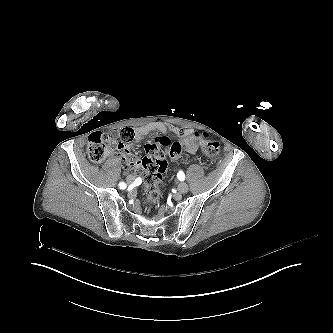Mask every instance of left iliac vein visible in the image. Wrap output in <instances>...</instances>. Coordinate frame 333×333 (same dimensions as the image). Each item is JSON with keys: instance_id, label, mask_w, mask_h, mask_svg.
<instances>
[{"instance_id": "left-iliac-vein-1", "label": "left iliac vein", "mask_w": 333, "mask_h": 333, "mask_svg": "<svg viewBox=\"0 0 333 333\" xmlns=\"http://www.w3.org/2000/svg\"><path fill=\"white\" fill-rule=\"evenodd\" d=\"M179 194H184L188 191V185L185 182H181L177 187Z\"/></svg>"}]
</instances>
